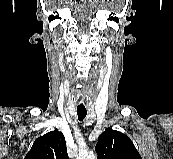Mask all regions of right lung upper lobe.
I'll return each mask as SVG.
<instances>
[{"label": "right lung upper lobe", "mask_w": 173, "mask_h": 159, "mask_svg": "<svg viewBox=\"0 0 173 159\" xmlns=\"http://www.w3.org/2000/svg\"><path fill=\"white\" fill-rule=\"evenodd\" d=\"M25 159H68L64 135L55 130L37 138Z\"/></svg>", "instance_id": "obj_1"}]
</instances>
